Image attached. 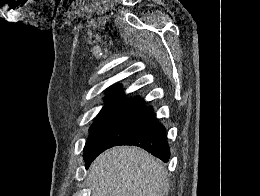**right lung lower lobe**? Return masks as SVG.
<instances>
[{"label": "right lung lower lobe", "instance_id": "98d812e1", "mask_svg": "<svg viewBox=\"0 0 260 196\" xmlns=\"http://www.w3.org/2000/svg\"><path fill=\"white\" fill-rule=\"evenodd\" d=\"M146 108L151 114H153L151 107ZM117 145H134L141 147L161 159L163 162H168V159L170 158V150L166 140L165 128L157 120L133 133ZM103 151L84 150L86 166L88 167L90 163Z\"/></svg>", "mask_w": 260, "mask_h": 196}]
</instances>
